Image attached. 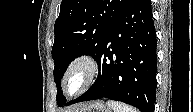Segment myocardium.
Masks as SVG:
<instances>
[{
	"label": "myocardium",
	"instance_id": "obj_1",
	"mask_svg": "<svg viewBox=\"0 0 193 112\" xmlns=\"http://www.w3.org/2000/svg\"><path fill=\"white\" fill-rule=\"evenodd\" d=\"M82 69L85 74L82 86L74 93L68 91V80L74 71ZM99 72L97 59L91 53L84 52L76 55L69 62L63 76V90L68 96H79L85 93L96 81Z\"/></svg>",
	"mask_w": 193,
	"mask_h": 112
}]
</instances>
